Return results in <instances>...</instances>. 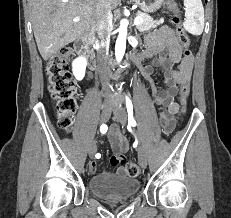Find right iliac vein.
Listing matches in <instances>:
<instances>
[{"instance_id":"1","label":"right iliac vein","mask_w":231,"mask_h":218,"mask_svg":"<svg viewBox=\"0 0 231 218\" xmlns=\"http://www.w3.org/2000/svg\"><path fill=\"white\" fill-rule=\"evenodd\" d=\"M112 112V107L109 105H105L102 108L100 119L102 123H105L109 120ZM97 151V145L95 142H92L90 147H89V156L90 158H93L95 153Z\"/></svg>"}]
</instances>
